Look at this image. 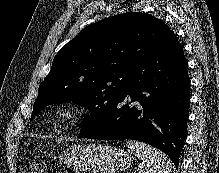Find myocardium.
I'll return each mask as SVG.
<instances>
[{"label":"myocardium","instance_id":"myocardium-1","mask_svg":"<svg viewBox=\"0 0 219 173\" xmlns=\"http://www.w3.org/2000/svg\"><path fill=\"white\" fill-rule=\"evenodd\" d=\"M82 113V108L72 102H66L58 106L54 113L58 132L63 133L70 130Z\"/></svg>","mask_w":219,"mask_h":173}]
</instances>
